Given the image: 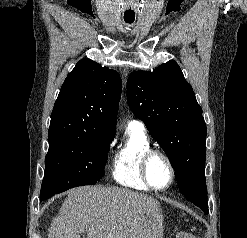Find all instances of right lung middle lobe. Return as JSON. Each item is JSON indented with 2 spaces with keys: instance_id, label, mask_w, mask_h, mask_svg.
Masks as SVG:
<instances>
[{
  "instance_id": "obj_1",
  "label": "right lung middle lobe",
  "mask_w": 247,
  "mask_h": 238,
  "mask_svg": "<svg viewBox=\"0 0 247 238\" xmlns=\"http://www.w3.org/2000/svg\"><path fill=\"white\" fill-rule=\"evenodd\" d=\"M113 137L95 131H73L48 136L49 150L40 200L69 188L93 185L102 178Z\"/></svg>"
}]
</instances>
